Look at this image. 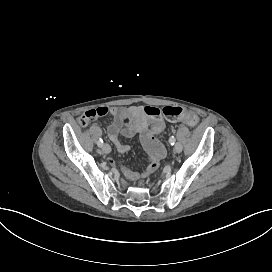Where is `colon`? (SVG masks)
Here are the masks:
<instances>
[{
	"mask_svg": "<svg viewBox=\"0 0 272 272\" xmlns=\"http://www.w3.org/2000/svg\"><path fill=\"white\" fill-rule=\"evenodd\" d=\"M145 113L151 118L166 117L168 120L176 121L179 118L185 121H193L196 118V113L194 111H183V108L177 105L170 106H152L145 110ZM108 114V108L100 106L97 108H92L87 110L82 118L80 119L82 124H86L97 117H104ZM154 127L156 129H162L164 127V122L162 120H156L154 122Z\"/></svg>",
	"mask_w": 272,
	"mask_h": 272,
	"instance_id": "colon-1",
	"label": "colon"
}]
</instances>
